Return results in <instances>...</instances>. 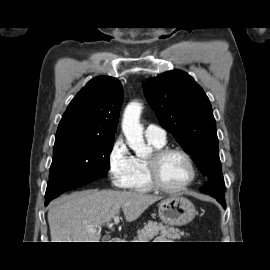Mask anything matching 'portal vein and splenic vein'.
Returning <instances> with one entry per match:
<instances>
[{
    "label": "portal vein and splenic vein",
    "instance_id": "1",
    "mask_svg": "<svg viewBox=\"0 0 270 270\" xmlns=\"http://www.w3.org/2000/svg\"><path fill=\"white\" fill-rule=\"evenodd\" d=\"M114 222H115V224H118L119 223V216H114Z\"/></svg>",
    "mask_w": 270,
    "mask_h": 270
}]
</instances>
